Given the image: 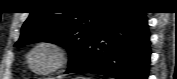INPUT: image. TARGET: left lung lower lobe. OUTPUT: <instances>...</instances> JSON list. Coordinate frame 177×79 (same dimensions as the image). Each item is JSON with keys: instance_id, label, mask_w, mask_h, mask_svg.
<instances>
[{"instance_id": "1", "label": "left lung lower lobe", "mask_w": 177, "mask_h": 79, "mask_svg": "<svg viewBox=\"0 0 177 79\" xmlns=\"http://www.w3.org/2000/svg\"><path fill=\"white\" fill-rule=\"evenodd\" d=\"M149 31L144 13L111 7L66 73L87 72L116 79H147Z\"/></svg>"}]
</instances>
